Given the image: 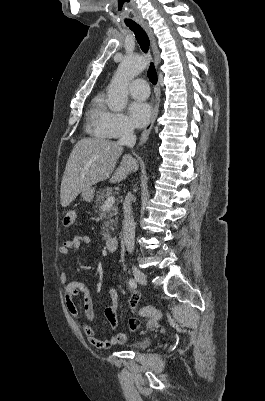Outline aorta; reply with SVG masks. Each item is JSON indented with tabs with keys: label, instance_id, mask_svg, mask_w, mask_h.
Masks as SVG:
<instances>
[{
	"label": "aorta",
	"instance_id": "1",
	"mask_svg": "<svg viewBox=\"0 0 265 401\" xmlns=\"http://www.w3.org/2000/svg\"><path fill=\"white\" fill-rule=\"evenodd\" d=\"M142 56L126 58L120 62L109 86L107 104L111 110H122L128 100V84L143 70Z\"/></svg>",
	"mask_w": 265,
	"mask_h": 401
}]
</instances>
